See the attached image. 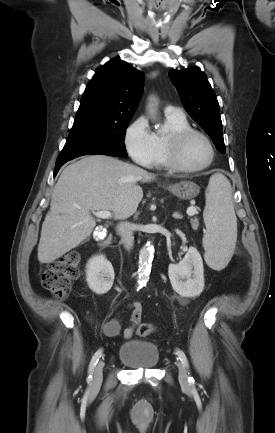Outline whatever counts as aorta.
Wrapping results in <instances>:
<instances>
[{"instance_id":"aorta-1","label":"aorta","mask_w":275,"mask_h":433,"mask_svg":"<svg viewBox=\"0 0 275 433\" xmlns=\"http://www.w3.org/2000/svg\"><path fill=\"white\" fill-rule=\"evenodd\" d=\"M149 104L150 113H154L155 98H151ZM154 249L150 244L145 245L139 252V270H138V283L140 285L146 284L149 279L151 263L153 259Z\"/></svg>"}]
</instances>
